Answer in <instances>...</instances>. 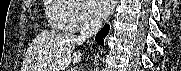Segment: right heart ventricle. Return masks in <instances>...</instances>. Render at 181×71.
I'll list each match as a JSON object with an SVG mask.
<instances>
[{
	"label": "right heart ventricle",
	"mask_w": 181,
	"mask_h": 71,
	"mask_svg": "<svg viewBox=\"0 0 181 71\" xmlns=\"http://www.w3.org/2000/svg\"><path fill=\"white\" fill-rule=\"evenodd\" d=\"M46 7L48 21L52 27L59 30H67L65 13L67 7L57 1L49 0Z\"/></svg>",
	"instance_id": "obj_1"
}]
</instances>
